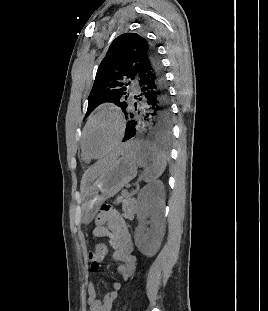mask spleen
Instances as JSON below:
<instances>
[{"label": "spleen", "instance_id": "spleen-1", "mask_svg": "<svg viewBox=\"0 0 268 311\" xmlns=\"http://www.w3.org/2000/svg\"><path fill=\"white\" fill-rule=\"evenodd\" d=\"M125 147H135L136 163L144 168L143 179L150 183L159 178L166 168V157L156 147L146 144L145 140H125ZM143 155V156H142ZM151 162L150 164H148Z\"/></svg>", "mask_w": 268, "mask_h": 311}]
</instances>
